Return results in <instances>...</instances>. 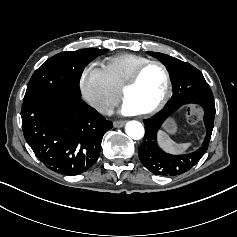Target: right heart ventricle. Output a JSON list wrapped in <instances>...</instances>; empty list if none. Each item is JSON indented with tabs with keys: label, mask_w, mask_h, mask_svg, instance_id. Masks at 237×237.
Returning a JSON list of instances; mask_svg holds the SVG:
<instances>
[{
	"label": "right heart ventricle",
	"mask_w": 237,
	"mask_h": 237,
	"mask_svg": "<svg viewBox=\"0 0 237 237\" xmlns=\"http://www.w3.org/2000/svg\"><path fill=\"white\" fill-rule=\"evenodd\" d=\"M148 61L144 56L123 53L106 58L103 68L112 85L119 91L132 74Z\"/></svg>",
	"instance_id": "right-heart-ventricle-1"
}]
</instances>
